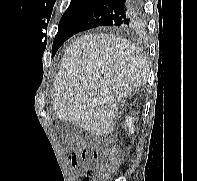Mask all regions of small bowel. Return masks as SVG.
<instances>
[{
  "label": "small bowel",
  "instance_id": "1",
  "mask_svg": "<svg viewBox=\"0 0 197 181\" xmlns=\"http://www.w3.org/2000/svg\"><path fill=\"white\" fill-rule=\"evenodd\" d=\"M84 152H85V151H83V152L81 153V158H82L83 160H85V159L87 158V153H86V152H85V153H86V156H85V157L83 156ZM76 158H77L76 153H72V154L70 155V161H71L73 164L76 163Z\"/></svg>",
  "mask_w": 197,
  "mask_h": 181
}]
</instances>
